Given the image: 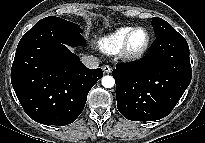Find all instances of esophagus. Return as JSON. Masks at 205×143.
<instances>
[{"mask_svg":"<svg viewBox=\"0 0 205 143\" xmlns=\"http://www.w3.org/2000/svg\"><path fill=\"white\" fill-rule=\"evenodd\" d=\"M102 69H103V72L106 74H109L112 72V68L109 65H104Z\"/></svg>","mask_w":205,"mask_h":143,"instance_id":"esophagus-1","label":"esophagus"}]
</instances>
